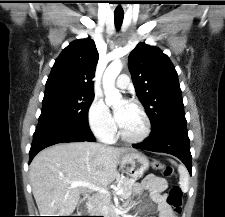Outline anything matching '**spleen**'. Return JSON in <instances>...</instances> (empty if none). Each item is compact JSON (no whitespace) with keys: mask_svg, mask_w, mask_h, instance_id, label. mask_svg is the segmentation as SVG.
<instances>
[{"mask_svg":"<svg viewBox=\"0 0 225 217\" xmlns=\"http://www.w3.org/2000/svg\"><path fill=\"white\" fill-rule=\"evenodd\" d=\"M173 164H175L177 166V164L174 161H171ZM178 172L180 175L179 178V183H180V187L181 190L183 192H187L188 191V184H189V174L187 169L183 166V165H178Z\"/></svg>","mask_w":225,"mask_h":217,"instance_id":"spleen-1","label":"spleen"}]
</instances>
